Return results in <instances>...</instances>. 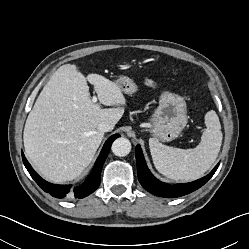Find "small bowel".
<instances>
[{"label":"small bowel","mask_w":249,"mask_h":249,"mask_svg":"<svg viewBox=\"0 0 249 249\" xmlns=\"http://www.w3.org/2000/svg\"><path fill=\"white\" fill-rule=\"evenodd\" d=\"M146 84H147L148 86H150V87H153V86H154V82H153L152 80H150V79H147V80H146Z\"/></svg>","instance_id":"1"}]
</instances>
